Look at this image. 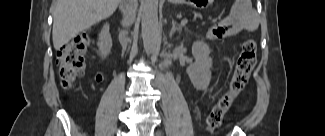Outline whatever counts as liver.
Instances as JSON below:
<instances>
[{"label":"liver","mask_w":325,"mask_h":136,"mask_svg":"<svg viewBox=\"0 0 325 136\" xmlns=\"http://www.w3.org/2000/svg\"><path fill=\"white\" fill-rule=\"evenodd\" d=\"M121 0H56L52 39L56 50L78 33L110 17Z\"/></svg>","instance_id":"6515ba94"}]
</instances>
